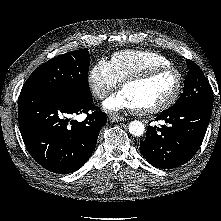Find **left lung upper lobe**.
Listing matches in <instances>:
<instances>
[{"instance_id":"1","label":"left lung upper lobe","mask_w":221,"mask_h":221,"mask_svg":"<svg viewBox=\"0 0 221 221\" xmlns=\"http://www.w3.org/2000/svg\"><path fill=\"white\" fill-rule=\"evenodd\" d=\"M188 73L184 91L178 101L168 110L178 111L195 104L213 105V92L201 69L192 61L186 60Z\"/></svg>"}]
</instances>
